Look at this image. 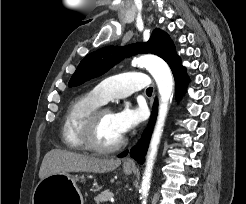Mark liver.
Masks as SVG:
<instances>
[{
    "label": "liver",
    "instance_id": "6515ba94",
    "mask_svg": "<svg viewBox=\"0 0 246 204\" xmlns=\"http://www.w3.org/2000/svg\"><path fill=\"white\" fill-rule=\"evenodd\" d=\"M121 164L119 159H102L60 149H52L44 156L39 178L68 172L108 173Z\"/></svg>",
    "mask_w": 246,
    "mask_h": 204
}]
</instances>
